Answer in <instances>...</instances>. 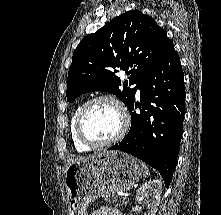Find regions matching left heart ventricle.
Segmentation results:
<instances>
[{"instance_id": "1", "label": "left heart ventricle", "mask_w": 221, "mask_h": 215, "mask_svg": "<svg viewBox=\"0 0 221 215\" xmlns=\"http://www.w3.org/2000/svg\"><path fill=\"white\" fill-rule=\"evenodd\" d=\"M121 124V116L116 106L109 101H100L88 109L83 128L89 138L104 141L115 136Z\"/></svg>"}]
</instances>
